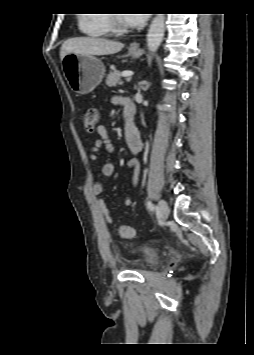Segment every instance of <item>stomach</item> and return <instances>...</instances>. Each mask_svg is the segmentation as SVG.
I'll use <instances>...</instances> for the list:
<instances>
[{"label": "stomach", "mask_w": 254, "mask_h": 355, "mask_svg": "<svg viewBox=\"0 0 254 355\" xmlns=\"http://www.w3.org/2000/svg\"><path fill=\"white\" fill-rule=\"evenodd\" d=\"M129 55L138 57L139 51L129 48ZM62 68L71 89L79 94H88L94 90L105 73L103 63L93 55L67 54L62 59Z\"/></svg>", "instance_id": "obj_1"}]
</instances>
